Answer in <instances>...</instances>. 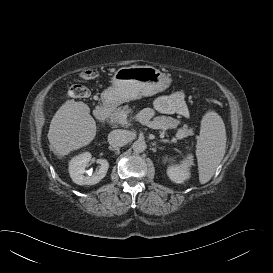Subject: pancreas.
Masks as SVG:
<instances>
[{
    "label": "pancreas",
    "instance_id": "pancreas-1",
    "mask_svg": "<svg viewBox=\"0 0 273 273\" xmlns=\"http://www.w3.org/2000/svg\"><path fill=\"white\" fill-rule=\"evenodd\" d=\"M131 111L132 110L128 105H124V106H120L116 108L110 114V117H109L110 122L113 124V126H117V125L127 126L129 124L127 115L131 113ZM150 124H151V128L161 129L164 132L167 129L175 128L179 124V121L172 117L156 116L153 118ZM192 134H193L192 129L188 128L187 125H183V127L179 128L177 131L178 138H184Z\"/></svg>",
    "mask_w": 273,
    "mask_h": 273
}]
</instances>
